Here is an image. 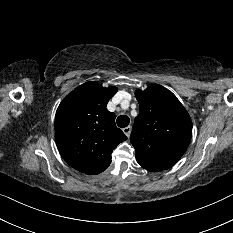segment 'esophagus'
Masks as SVG:
<instances>
[{"label": "esophagus", "instance_id": "34e87169", "mask_svg": "<svg viewBox=\"0 0 233 233\" xmlns=\"http://www.w3.org/2000/svg\"><path fill=\"white\" fill-rule=\"evenodd\" d=\"M123 132L127 137H129L130 133H131V126H127V127L123 128Z\"/></svg>", "mask_w": 233, "mask_h": 233}]
</instances>
